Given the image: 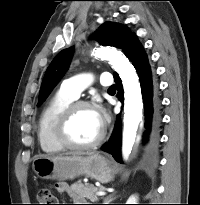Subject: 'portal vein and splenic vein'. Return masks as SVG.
<instances>
[{"label":"portal vein and splenic vein","mask_w":200,"mask_h":205,"mask_svg":"<svg viewBox=\"0 0 200 205\" xmlns=\"http://www.w3.org/2000/svg\"><path fill=\"white\" fill-rule=\"evenodd\" d=\"M96 194H97L98 196H104V195H106V192L103 191V190H100V191L96 192Z\"/></svg>","instance_id":"obj_1"}]
</instances>
